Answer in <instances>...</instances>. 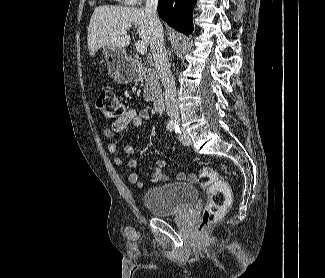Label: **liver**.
Returning <instances> with one entry per match:
<instances>
[{"label":"liver","instance_id":"6515ba94","mask_svg":"<svg viewBox=\"0 0 325 278\" xmlns=\"http://www.w3.org/2000/svg\"><path fill=\"white\" fill-rule=\"evenodd\" d=\"M137 28L139 38L150 43L148 14L142 8L99 6L95 8L88 26L87 45L91 56L103 47L125 48L130 44L129 29Z\"/></svg>","mask_w":325,"mask_h":278}]
</instances>
